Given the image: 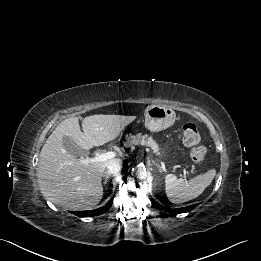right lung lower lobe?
Segmentation results:
<instances>
[{
  "label": "right lung lower lobe",
  "instance_id": "98d812e1",
  "mask_svg": "<svg viewBox=\"0 0 261 261\" xmlns=\"http://www.w3.org/2000/svg\"><path fill=\"white\" fill-rule=\"evenodd\" d=\"M112 203H113V198L105 206L101 208L90 210V211H74V212L72 211V213L79 217L97 216L106 212L111 207Z\"/></svg>",
  "mask_w": 261,
  "mask_h": 261
}]
</instances>
